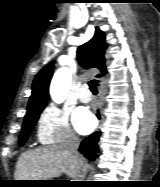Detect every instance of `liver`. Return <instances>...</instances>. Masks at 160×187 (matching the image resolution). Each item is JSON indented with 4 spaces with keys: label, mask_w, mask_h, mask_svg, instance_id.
<instances>
[{
    "label": "liver",
    "mask_w": 160,
    "mask_h": 187,
    "mask_svg": "<svg viewBox=\"0 0 160 187\" xmlns=\"http://www.w3.org/2000/svg\"><path fill=\"white\" fill-rule=\"evenodd\" d=\"M82 165V159L77 163L63 145L41 147L21 154L17 161L15 180H48L62 173L77 178Z\"/></svg>",
    "instance_id": "obj_1"
}]
</instances>
